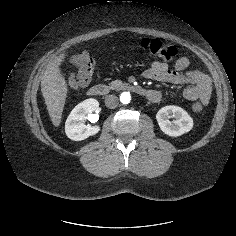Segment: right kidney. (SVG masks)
Masks as SVG:
<instances>
[{
	"instance_id": "obj_1",
	"label": "right kidney",
	"mask_w": 236,
	"mask_h": 236,
	"mask_svg": "<svg viewBox=\"0 0 236 236\" xmlns=\"http://www.w3.org/2000/svg\"><path fill=\"white\" fill-rule=\"evenodd\" d=\"M98 108L99 102L93 98L86 99L76 105L65 123L67 137L74 141H81L87 139L89 136L96 135L100 131V127L85 124V121H97L98 115L91 113L98 110Z\"/></svg>"
}]
</instances>
